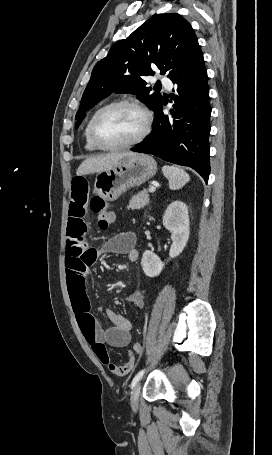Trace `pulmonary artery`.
Instances as JSON below:
<instances>
[{
    "mask_svg": "<svg viewBox=\"0 0 272 455\" xmlns=\"http://www.w3.org/2000/svg\"><path fill=\"white\" fill-rule=\"evenodd\" d=\"M161 83L167 88H171V86H172V81L169 78H167L166 76L161 78Z\"/></svg>",
    "mask_w": 272,
    "mask_h": 455,
    "instance_id": "pulmonary-artery-1",
    "label": "pulmonary artery"
}]
</instances>
